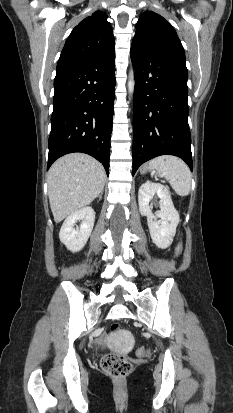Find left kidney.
Instances as JSON below:
<instances>
[{"mask_svg":"<svg viewBox=\"0 0 233 413\" xmlns=\"http://www.w3.org/2000/svg\"><path fill=\"white\" fill-rule=\"evenodd\" d=\"M155 195L160 199V210L153 214L149 203ZM138 203L140 213L147 217L153 243L158 248H168L173 242L176 227L180 220L169 191L161 184L148 181L139 188ZM157 218H160V220L157 221Z\"/></svg>","mask_w":233,"mask_h":413,"instance_id":"obj_1","label":"left kidney"}]
</instances>
